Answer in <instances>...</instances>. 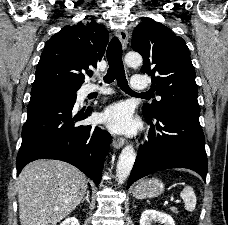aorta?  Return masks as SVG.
Wrapping results in <instances>:
<instances>
[{
  "instance_id": "obj_1",
  "label": "aorta",
  "mask_w": 228,
  "mask_h": 225,
  "mask_svg": "<svg viewBox=\"0 0 228 225\" xmlns=\"http://www.w3.org/2000/svg\"><path fill=\"white\" fill-rule=\"evenodd\" d=\"M124 60L128 66H140V64H142V56L139 52H127ZM135 159L136 153L132 145L124 147L116 167L118 185H122V183L128 179L133 169Z\"/></svg>"
}]
</instances>
